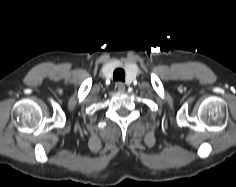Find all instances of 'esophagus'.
I'll return each instance as SVG.
<instances>
[{
  "label": "esophagus",
  "mask_w": 236,
  "mask_h": 187,
  "mask_svg": "<svg viewBox=\"0 0 236 187\" xmlns=\"http://www.w3.org/2000/svg\"><path fill=\"white\" fill-rule=\"evenodd\" d=\"M116 85H117V88H118V90H119L120 92L125 91V85H124L123 82L119 81V82H117Z\"/></svg>",
  "instance_id": "obj_1"
}]
</instances>
